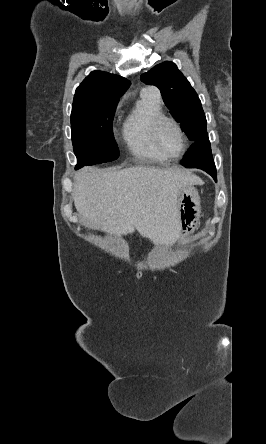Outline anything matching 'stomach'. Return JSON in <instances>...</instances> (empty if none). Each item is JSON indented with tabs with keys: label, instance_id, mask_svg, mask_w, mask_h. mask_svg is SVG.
Listing matches in <instances>:
<instances>
[{
	"label": "stomach",
	"instance_id": "obj_1",
	"mask_svg": "<svg viewBox=\"0 0 266 444\" xmlns=\"http://www.w3.org/2000/svg\"><path fill=\"white\" fill-rule=\"evenodd\" d=\"M201 205L197 190L192 186L183 188L177 198V226L179 237L189 235L200 217Z\"/></svg>",
	"mask_w": 266,
	"mask_h": 444
}]
</instances>
